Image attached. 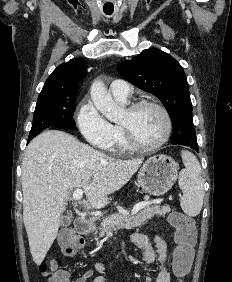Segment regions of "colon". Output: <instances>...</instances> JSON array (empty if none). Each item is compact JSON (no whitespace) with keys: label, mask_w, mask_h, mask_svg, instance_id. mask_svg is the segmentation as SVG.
Returning <instances> with one entry per match:
<instances>
[{"label":"colon","mask_w":232,"mask_h":282,"mask_svg":"<svg viewBox=\"0 0 232 282\" xmlns=\"http://www.w3.org/2000/svg\"><path fill=\"white\" fill-rule=\"evenodd\" d=\"M169 221L175 229L172 269L174 275L183 282L188 274L193 258V246L196 242V228L192 218L173 211L170 214ZM82 246V240L70 230H64L60 236L61 252L64 256L75 255ZM39 272L42 275H50L55 281H63L56 268L54 261H44L39 265Z\"/></svg>","instance_id":"5ec220e1"}]
</instances>
